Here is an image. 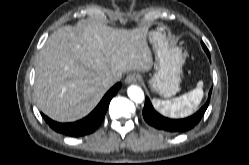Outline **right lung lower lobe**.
<instances>
[{
	"instance_id": "1",
	"label": "right lung lower lobe",
	"mask_w": 249,
	"mask_h": 165,
	"mask_svg": "<svg viewBox=\"0 0 249 165\" xmlns=\"http://www.w3.org/2000/svg\"><path fill=\"white\" fill-rule=\"evenodd\" d=\"M121 83L114 85L102 98L96 108L85 118L73 123H58L42 114L46 123L58 133L77 137L94 132L102 123L112 97L118 92Z\"/></svg>"
}]
</instances>
